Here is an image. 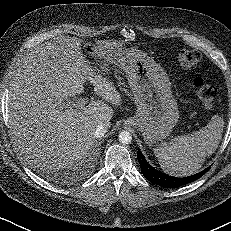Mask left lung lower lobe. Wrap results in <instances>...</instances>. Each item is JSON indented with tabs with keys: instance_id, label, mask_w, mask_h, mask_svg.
I'll list each match as a JSON object with an SVG mask.
<instances>
[{
	"instance_id": "obj_1",
	"label": "left lung lower lobe",
	"mask_w": 231,
	"mask_h": 231,
	"mask_svg": "<svg viewBox=\"0 0 231 231\" xmlns=\"http://www.w3.org/2000/svg\"><path fill=\"white\" fill-rule=\"evenodd\" d=\"M137 157L144 177L151 181L153 184L162 186L164 188H177L191 183L202 177L210 169V167H208L195 175L177 178L168 176L149 165L139 149L137 152Z\"/></svg>"
}]
</instances>
